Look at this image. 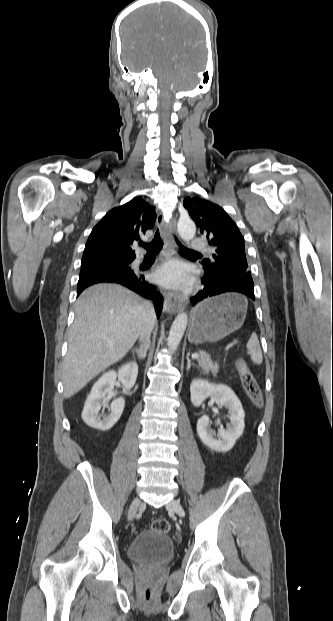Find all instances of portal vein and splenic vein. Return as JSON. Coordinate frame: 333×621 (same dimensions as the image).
I'll list each match as a JSON object with an SVG mask.
<instances>
[{
    "label": "portal vein and splenic vein",
    "mask_w": 333,
    "mask_h": 621,
    "mask_svg": "<svg viewBox=\"0 0 333 621\" xmlns=\"http://www.w3.org/2000/svg\"><path fill=\"white\" fill-rule=\"evenodd\" d=\"M200 357L199 353L192 354V359H198Z\"/></svg>",
    "instance_id": "1"
}]
</instances>
